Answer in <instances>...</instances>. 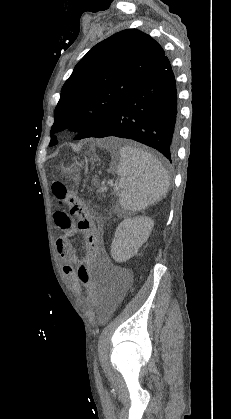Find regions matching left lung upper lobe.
<instances>
[{
	"instance_id": "left-lung-upper-lobe-1",
	"label": "left lung upper lobe",
	"mask_w": 231,
	"mask_h": 419,
	"mask_svg": "<svg viewBox=\"0 0 231 419\" xmlns=\"http://www.w3.org/2000/svg\"><path fill=\"white\" fill-rule=\"evenodd\" d=\"M165 57L161 46L137 30L120 31L95 45L75 66L55 108L54 133L79 130L74 139L93 136L110 120L133 87Z\"/></svg>"
}]
</instances>
